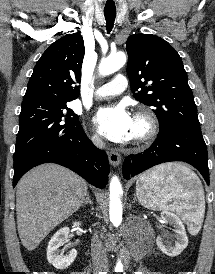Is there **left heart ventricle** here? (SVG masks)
Segmentation results:
<instances>
[{"label": "left heart ventricle", "mask_w": 215, "mask_h": 274, "mask_svg": "<svg viewBox=\"0 0 215 274\" xmlns=\"http://www.w3.org/2000/svg\"><path fill=\"white\" fill-rule=\"evenodd\" d=\"M144 130V126L141 122L138 120L134 119V126H133V131H132V138L140 135Z\"/></svg>", "instance_id": "1"}]
</instances>
